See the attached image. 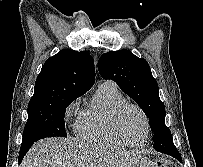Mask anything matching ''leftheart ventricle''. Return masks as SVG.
<instances>
[{
    "mask_svg": "<svg viewBox=\"0 0 203 167\" xmlns=\"http://www.w3.org/2000/svg\"><path fill=\"white\" fill-rule=\"evenodd\" d=\"M118 127L122 135L130 142L137 143L144 138V120L136 109H126L119 118Z\"/></svg>",
    "mask_w": 203,
    "mask_h": 167,
    "instance_id": "1",
    "label": "left heart ventricle"
}]
</instances>
